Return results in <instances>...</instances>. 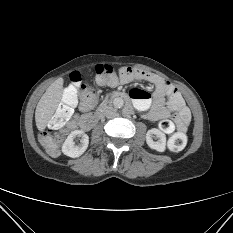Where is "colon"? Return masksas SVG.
I'll return each instance as SVG.
<instances>
[{
	"mask_svg": "<svg viewBox=\"0 0 233 233\" xmlns=\"http://www.w3.org/2000/svg\"><path fill=\"white\" fill-rule=\"evenodd\" d=\"M95 73L96 81L100 85H115L120 75V71H116L109 64H98L95 67ZM70 81L71 85L65 90L63 102L57 108L47 129L40 135L42 145L52 155L59 152L64 126L72 115L78 96L90 98L95 93L91 85L82 83L81 74L77 71L70 74ZM186 144L187 136L182 132L175 133L168 140V147L174 152L183 150Z\"/></svg>",
	"mask_w": 233,
	"mask_h": 233,
	"instance_id": "obj_1",
	"label": "colon"
}]
</instances>
